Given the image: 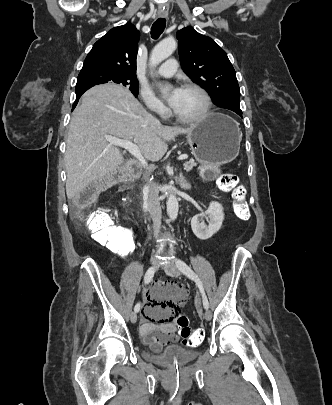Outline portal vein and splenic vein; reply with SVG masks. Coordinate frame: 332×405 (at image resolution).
<instances>
[{
  "label": "portal vein and splenic vein",
  "mask_w": 332,
  "mask_h": 405,
  "mask_svg": "<svg viewBox=\"0 0 332 405\" xmlns=\"http://www.w3.org/2000/svg\"><path fill=\"white\" fill-rule=\"evenodd\" d=\"M105 138L110 144L127 150L130 154H132L135 158H137L140 161V163L144 166V168L148 169V164L144 159L142 153L140 152L139 148L137 147L136 143L121 140L119 138H115L109 135H106ZM178 159L185 160L187 159V155H181L179 156ZM184 166L186 167V164H184Z\"/></svg>",
  "instance_id": "1"
}]
</instances>
